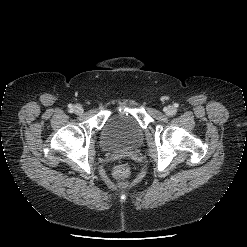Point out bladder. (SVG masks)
Returning a JSON list of instances; mask_svg holds the SVG:
<instances>
[{"instance_id": "bladder-1", "label": "bladder", "mask_w": 247, "mask_h": 247, "mask_svg": "<svg viewBox=\"0 0 247 247\" xmlns=\"http://www.w3.org/2000/svg\"><path fill=\"white\" fill-rule=\"evenodd\" d=\"M142 140L143 129L128 114L117 113L110 116L101 133V144L107 149L133 148Z\"/></svg>"}]
</instances>
